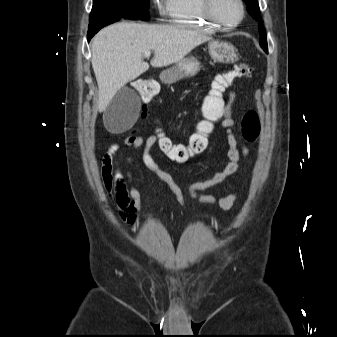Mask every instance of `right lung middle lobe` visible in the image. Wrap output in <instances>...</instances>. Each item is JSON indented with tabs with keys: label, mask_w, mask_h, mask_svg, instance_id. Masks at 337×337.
<instances>
[{
	"label": "right lung middle lobe",
	"mask_w": 337,
	"mask_h": 337,
	"mask_svg": "<svg viewBox=\"0 0 337 337\" xmlns=\"http://www.w3.org/2000/svg\"><path fill=\"white\" fill-rule=\"evenodd\" d=\"M149 0H93L89 26L100 21L149 20Z\"/></svg>",
	"instance_id": "dd1d6c3e"
}]
</instances>
